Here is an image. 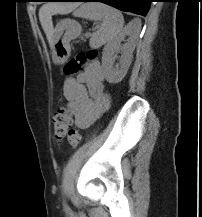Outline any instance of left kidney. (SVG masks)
<instances>
[{
    "label": "left kidney",
    "instance_id": "5707ae66",
    "mask_svg": "<svg viewBox=\"0 0 202 217\" xmlns=\"http://www.w3.org/2000/svg\"><path fill=\"white\" fill-rule=\"evenodd\" d=\"M139 34V27L130 23L120 34L109 41L102 52V67L106 80L109 83H119L127 74L132 62V53L135 48V39ZM126 35H131V39L121 46V41ZM121 51L119 64L114 67L116 53Z\"/></svg>",
    "mask_w": 202,
    "mask_h": 217
}]
</instances>
